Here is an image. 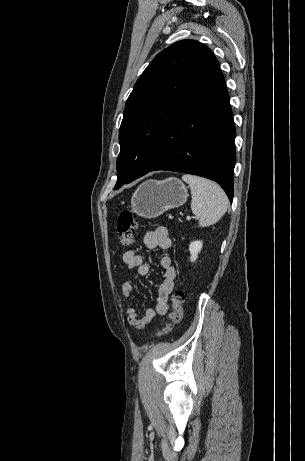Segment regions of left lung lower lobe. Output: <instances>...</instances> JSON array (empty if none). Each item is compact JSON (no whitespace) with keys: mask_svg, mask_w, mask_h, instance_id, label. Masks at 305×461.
Segmentation results:
<instances>
[{"mask_svg":"<svg viewBox=\"0 0 305 461\" xmlns=\"http://www.w3.org/2000/svg\"><path fill=\"white\" fill-rule=\"evenodd\" d=\"M235 160L234 120L216 61L167 123L148 172L168 170L212 179L232 202Z\"/></svg>","mask_w":305,"mask_h":461,"instance_id":"obj_1","label":"left lung lower lobe"}]
</instances>
